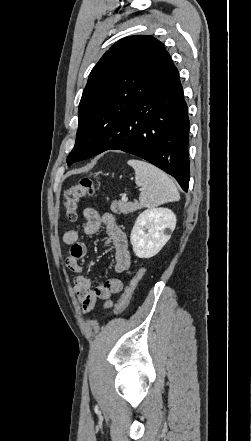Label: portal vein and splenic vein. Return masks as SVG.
Segmentation results:
<instances>
[{"instance_id":"obj_1","label":"portal vein and splenic vein","mask_w":251,"mask_h":441,"mask_svg":"<svg viewBox=\"0 0 251 441\" xmlns=\"http://www.w3.org/2000/svg\"><path fill=\"white\" fill-rule=\"evenodd\" d=\"M122 200H123V201H127V200H128V198L126 197V195H124V196L122 197Z\"/></svg>"}]
</instances>
